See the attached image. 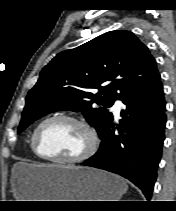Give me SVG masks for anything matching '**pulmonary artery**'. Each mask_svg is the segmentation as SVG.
Listing matches in <instances>:
<instances>
[{"label": "pulmonary artery", "mask_w": 176, "mask_h": 211, "mask_svg": "<svg viewBox=\"0 0 176 211\" xmlns=\"http://www.w3.org/2000/svg\"><path fill=\"white\" fill-rule=\"evenodd\" d=\"M123 102L121 100H116L114 105L112 106V111L114 113V116L116 118L119 117L121 109L123 108Z\"/></svg>", "instance_id": "pulmonary-artery-1"}]
</instances>
